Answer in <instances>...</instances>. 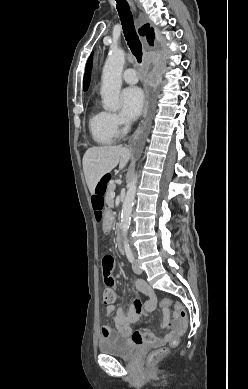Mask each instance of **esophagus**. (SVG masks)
<instances>
[{
	"mask_svg": "<svg viewBox=\"0 0 248 389\" xmlns=\"http://www.w3.org/2000/svg\"><path fill=\"white\" fill-rule=\"evenodd\" d=\"M131 5H132V7H133V10H135V7H134V5H133V3L131 2ZM141 131V129H139L138 130V133Z\"/></svg>",
	"mask_w": 248,
	"mask_h": 389,
	"instance_id": "obj_1",
	"label": "esophagus"
}]
</instances>
